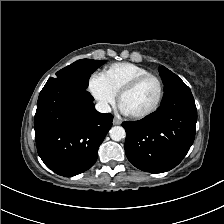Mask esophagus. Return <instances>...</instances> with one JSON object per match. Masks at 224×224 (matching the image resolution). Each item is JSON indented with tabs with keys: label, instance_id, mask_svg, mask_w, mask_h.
<instances>
[{
	"label": "esophagus",
	"instance_id": "34e87169",
	"mask_svg": "<svg viewBox=\"0 0 224 224\" xmlns=\"http://www.w3.org/2000/svg\"><path fill=\"white\" fill-rule=\"evenodd\" d=\"M113 124L114 125H120L121 124V121L119 119H117V118H114Z\"/></svg>",
	"mask_w": 224,
	"mask_h": 224
}]
</instances>
